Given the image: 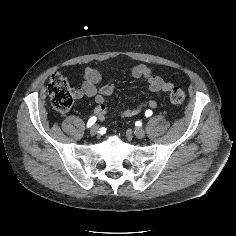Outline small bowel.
I'll return each mask as SVG.
<instances>
[{
  "mask_svg": "<svg viewBox=\"0 0 236 236\" xmlns=\"http://www.w3.org/2000/svg\"><path fill=\"white\" fill-rule=\"evenodd\" d=\"M131 75L135 79H144L147 82L148 89L152 93L170 92L173 89V84L164 81L161 77L152 73L151 69L144 65L138 64L131 69ZM102 80V74L99 70L91 67H87L83 73L81 87L74 91V98L80 100L84 96L94 98L97 106L95 108V114L102 120L104 119L107 107L105 104L106 98L110 96L114 91V84L107 83L100 89L97 88ZM158 103L155 100H149L141 103L135 109L125 110L121 113L122 118H129L139 114L142 110L156 109Z\"/></svg>",
  "mask_w": 236,
  "mask_h": 236,
  "instance_id": "1",
  "label": "small bowel"
}]
</instances>
